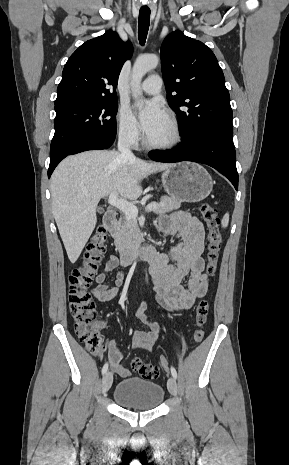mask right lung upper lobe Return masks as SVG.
Wrapping results in <instances>:
<instances>
[{
  "mask_svg": "<svg viewBox=\"0 0 289 465\" xmlns=\"http://www.w3.org/2000/svg\"><path fill=\"white\" fill-rule=\"evenodd\" d=\"M132 53V44L122 42L113 31L86 41L64 66L55 105L116 99L120 71Z\"/></svg>",
  "mask_w": 289,
  "mask_h": 465,
  "instance_id": "right-lung-upper-lobe-1",
  "label": "right lung upper lobe"
}]
</instances>
